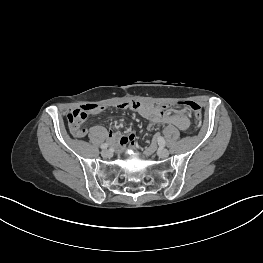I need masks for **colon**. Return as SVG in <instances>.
I'll return each instance as SVG.
<instances>
[{
  "label": "colon",
  "mask_w": 263,
  "mask_h": 263,
  "mask_svg": "<svg viewBox=\"0 0 263 263\" xmlns=\"http://www.w3.org/2000/svg\"><path fill=\"white\" fill-rule=\"evenodd\" d=\"M187 109H189L194 117V120L198 122L201 119V106L193 101H185L182 103ZM87 110L83 108H74L69 111L67 118L71 133L76 137H83L86 134V129L82 127V123L87 117Z\"/></svg>",
  "instance_id": "colon-1"
}]
</instances>
